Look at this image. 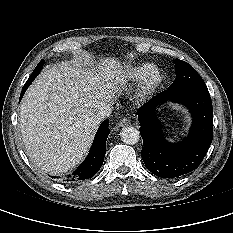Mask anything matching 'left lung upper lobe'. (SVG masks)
<instances>
[{
  "mask_svg": "<svg viewBox=\"0 0 233 233\" xmlns=\"http://www.w3.org/2000/svg\"><path fill=\"white\" fill-rule=\"evenodd\" d=\"M175 71L176 78L168 89H177L183 87H206L203 79L197 71L187 62L176 59Z\"/></svg>",
  "mask_w": 233,
  "mask_h": 233,
  "instance_id": "obj_1",
  "label": "left lung upper lobe"
}]
</instances>
